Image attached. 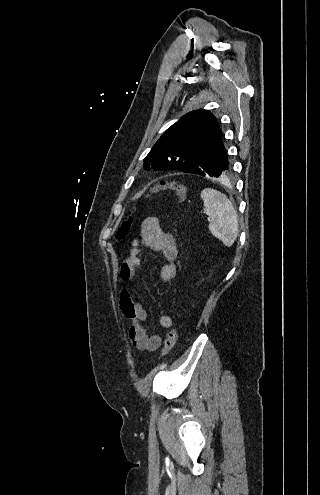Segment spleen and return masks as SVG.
I'll return each instance as SVG.
<instances>
[{
	"instance_id": "obj_1",
	"label": "spleen",
	"mask_w": 320,
	"mask_h": 495,
	"mask_svg": "<svg viewBox=\"0 0 320 495\" xmlns=\"http://www.w3.org/2000/svg\"><path fill=\"white\" fill-rule=\"evenodd\" d=\"M204 213L211 220L209 230L226 247H231L239 232L237 213L226 195L212 188H205L200 194Z\"/></svg>"
}]
</instances>
